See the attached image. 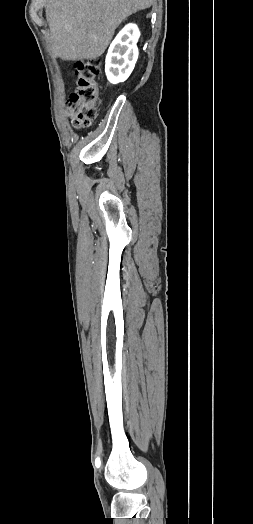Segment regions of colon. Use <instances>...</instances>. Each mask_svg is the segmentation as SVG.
<instances>
[{
  "label": "colon",
  "mask_w": 253,
  "mask_h": 524,
  "mask_svg": "<svg viewBox=\"0 0 253 524\" xmlns=\"http://www.w3.org/2000/svg\"><path fill=\"white\" fill-rule=\"evenodd\" d=\"M100 61L97 59L81 60L75 64L76 86L71 93L67 112L76 128L91 125L97 115L100 103L97 77Z\"/></svg>",
  "instance_id": "obj_1"
}]
</instances>
